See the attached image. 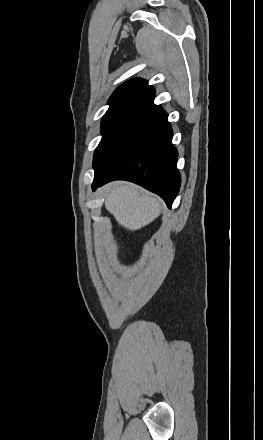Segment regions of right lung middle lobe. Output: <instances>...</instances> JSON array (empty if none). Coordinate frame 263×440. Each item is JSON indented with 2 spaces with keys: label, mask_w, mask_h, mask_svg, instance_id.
Wrapping results in <instances>:
<instances>
[{
  "label": "right lung middle lobe",
  "mask_w": 263,
  "mask_h": 440,
  "mask_svg": "<svg viewBox=\"0 0 263 440\" xmlns=\"http://www.w3.org/2000/svg\"><path fill=\"white\" fill-rule=\"evenodd\" d=\"M161 107L118 108L102 118V139L93 157L94 178L105 177L144 134Z\"/></svg>",
  "instance_id": "obj_1"
}]
</instances>
